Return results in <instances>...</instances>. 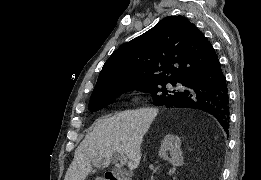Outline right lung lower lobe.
<instances>
[{
  "instance_id": "right-lung-lower-lobe-1",
  "label": "right lung lower lobe",
  "mask_w": 261,
  "mask_h": 180,
  "mask_svg": "<svg viewBox=\"0 0 261 180\" xmlns=\"http://www.w3.org/2000/svg\"><path fill=\"white\" fill-rule=\"evenodd\" d=\"M183 85L189 89L160 105L166 107L195 108L213 115L228 133L229 128V96L226 78L219 61L198 69L190 74Z\"/></svg>"
}]
</instances>
